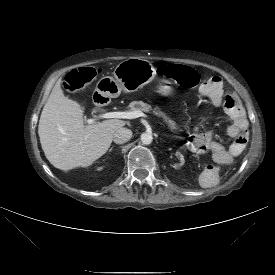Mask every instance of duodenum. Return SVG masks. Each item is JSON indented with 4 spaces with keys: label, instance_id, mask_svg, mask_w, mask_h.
<instances>
[{
    "label": "duodenum",
    "instance_id": "1",
    "mask_svg": "<svg viewBox=\"0 0 275 275\" xmlns=\"http://www.w3.org/2000/svg\"><path fill=\"white\" fill-rule=\"evenodd\" d=\"M91 99L98 107H103L107 105L110 101V98L107 94L102 93L100 90H95L92 93Z\"/></svg>",
    "mask_w": 275,
    "mask_h": 275
}]
</instances>
